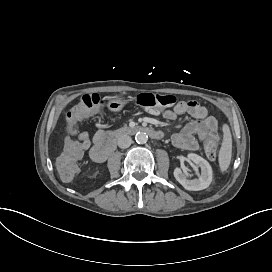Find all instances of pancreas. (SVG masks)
<instances>
[{
  "mask_svg": "<svg viewBox=\"0 0 272 272\" xmlns=\"http://www.w3.org/2000/svg\"><path fill=\"white\" fill-rule=\"evenodd\" d=\"M128 129H129V128L125 125L124 127L120 128V129H118V130H116V132H117L118 134H120V133L126 132Z\"/></svg>",
  "mask_w": 272,
  "mask_h": 272,
  "instance_id": "pancreas-1",
  "label": "pancreas"
}]
</instances>
